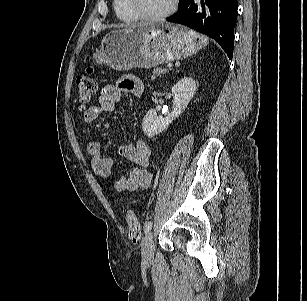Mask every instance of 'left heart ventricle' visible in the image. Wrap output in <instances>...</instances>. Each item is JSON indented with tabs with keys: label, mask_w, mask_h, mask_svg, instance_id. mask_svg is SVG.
Here are the masks:
<instances>
[{
	"label": "left heart ventricle",
	"mask_w": 307,
	"mask_h": 301,
	"mask_svg": "<svg viewBox=\"0 0 307 301\" xmlns=\"http://www.w3.org/2000/svg\"><path fill=\"white\" fill-rule=\"evenodd\" d=\"M139 8L146 14H158L167 10L172 0H136Z\"/></svg>",
	"instance_id": "left-heart-ventricle-1"
}]
</instances>
